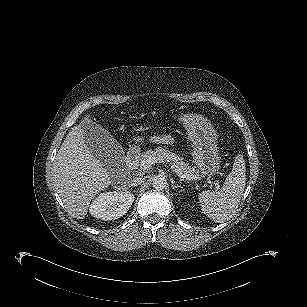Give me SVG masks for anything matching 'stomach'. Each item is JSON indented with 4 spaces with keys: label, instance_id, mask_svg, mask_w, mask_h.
<instances>
[{
    "label": "stomach",
    "instance_id": "0dacf381",
    "mask_svg": "<svg viewBox=\"0 0 307 307\" xmlns=\"http://www.w3.org/2000/svg\"><path fill=\"white\" fill-rule=\"evenodd\" d=\"M178 121L186 130L192 142V157L195 166L205 176H212L219 170V156L216 145V132L211 122L204 115L184 113Z\"/></svg>",
    "mask_w": 307,
    "mask_h": 307
}]
</instances>
